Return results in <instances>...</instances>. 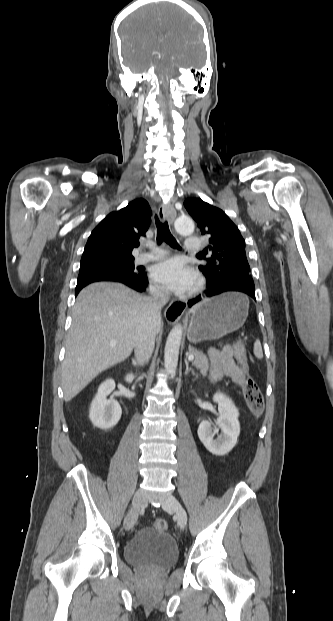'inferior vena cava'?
I'll return each instance as SVG.
<instances>
[{
	"label": "inferior vena cava",
	"mask_w": 333,
	"mask_h": 621,
	"mask_svg": "<svg viewBox=\"0 0 333 621\" xmlns=\"http://www.w3.org/2000/svg\"><path fill=\"white\" fill-rule=\"evenodd\" d=\"M169 292L162 288H154L150 296L144 298L146 316L135 338V355L138 364L144 365L152 355L155 336L161 325V308L168 302Z\"/></svg>",
	"instance_id": "1"
}]
</instances>
